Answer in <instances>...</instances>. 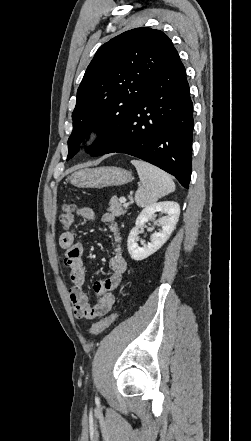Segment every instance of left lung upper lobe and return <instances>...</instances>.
I'll return each instance as SVG.
<instances>
[{"mask_svg":"<svg viewBox=\"0 0 251 441\" xmlns=\"http://www.w3.org/2000/svg\"><path fill=\"white\" fill-rule=\"evenodd\" d=\"M175 51L162 31L144 27L126 31L98 49L77 91L67 160L92 130L116 128L125 121Z\"/></svg>","mask_w":251,"mask_h":441,"instance_id":"obj_1","label":"left lung upper lobe"}]
</instances>
